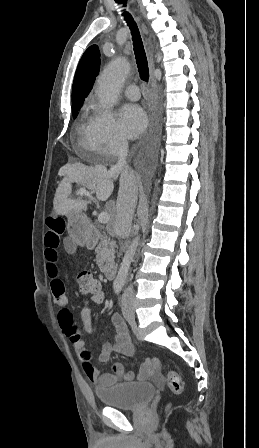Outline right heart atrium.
Segmentation results:
<instances>
[{
  "mask_svg": "<svg viewBox=\"0 0 259 448\" xmlns=\"http://www.w3.org/2000/svg\"><path fill=\"white\" fill-rule=\"evenodd\" d=\"M97 114L91 136V149L97 157H120L127 147V141L114 114L105 108H99Z\"/></svg>",
  "mask_w": 259,
  "mask_h": 448,
  "instance_id": "1",
  "label": "right heart atrium"
}]
</instances>
